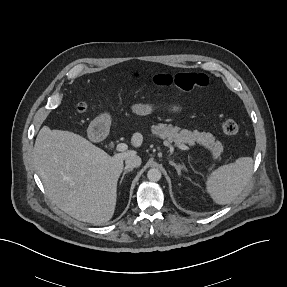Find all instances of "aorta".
<instances>
[{"label":"aorta","instance_id":"obj_1","mask_svg":"<svg viewBox=\"0 0 287 287\" xmlns=\"http://www.w3.org/2000/svg\"><path fill=\"white\" fill-rule=\"evenodd\" d=\"M147 177L152 182L159 181L161 179V171L158 168H151L148 170Z\"/></svg>","mask_w":287,"mask_h":287}]
</instances>
